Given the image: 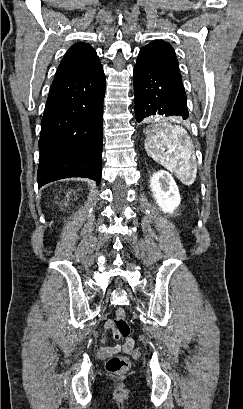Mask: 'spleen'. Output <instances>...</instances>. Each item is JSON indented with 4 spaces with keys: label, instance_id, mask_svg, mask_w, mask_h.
I'll return each mask as SVG.
<instances>
[{
    "label": "spleen",
    "instance_id": "1",
    "mask_svg": "<svg viewBox=\"0 0 243 409\" xmlns=\"http://www.w3.org/2000/svg\"><path fill=\"white\" fill-rule=\"evenodd\" d=\"M154 132L145 141V149L152 157L185 185H191L197 174L193 145L187 131L168 122L153 126ZM167 150V151H165Z\"/></svg>",
    "mask_w": 243,
    "mask_h": 409
}]
</instances>
